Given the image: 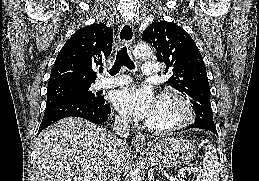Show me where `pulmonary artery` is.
I'll use <instances>...</instances> for the list:
<instances>
[{
	"instance_id": "e3ab8cb5",
	"label": "pulmonary artery",
	"mask_w": 259,
	"mask_h": 181,
	"mask_svg": "<svg viewBox=\"0 0 259 181\" xmlns=\"http://www.w3.org/2000/svg\"><path fill=\"white\" fill-rule=\"evenodd\" d=\"M142 73L144 76H155L158 73V67L156 63L146 62L143 64ZM131 79L126 75H118L112 78L102 79L99 81V87L102 89L113 88L128 84Z\"/></svg>"
}]
</instances>
